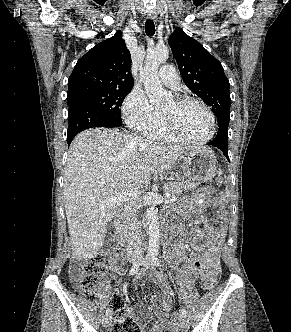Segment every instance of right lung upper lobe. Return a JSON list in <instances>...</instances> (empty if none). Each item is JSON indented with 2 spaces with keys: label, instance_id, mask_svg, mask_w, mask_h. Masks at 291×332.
<instances>
[{
  "label": "right lung upper lobe",
  "instance_id": "1",
  "mask_svg": "<svg viewBox=\"0 0 291 332\" xmlns=\"http://www.w3.org/2000/svg\"><path fill=\"white\" fill-rule=\"evenodd\" d=\"M131 55L121 31L98 43L81 57L68 80V97L82 93L131 88Z\"/></svg>",
  "mask_w": 291,
  "mask_h": 332
}]
</instances>
